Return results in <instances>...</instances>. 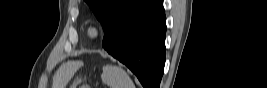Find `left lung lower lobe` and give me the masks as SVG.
I'll return each mask as SVG.
<instances>
[{
    "label": "left lung lower lobe",
    "mask_w": 267,
    "mask_h": 88,
    "mask_svg": "<svg viewBox=\"0 0 267 88\" xmlns=\"http://www.w3.org/2000/svg\"><path fill=\"white\" fill-rule=\"evenodd\" d=\"M162 0H138L105 33L102 46L124 63L144 88H159L165 63Z\"/></svg>",
    "instance_id": "0a47b994"
}]
</instances>
